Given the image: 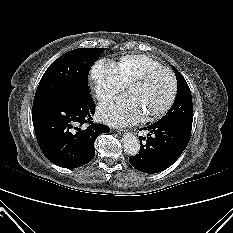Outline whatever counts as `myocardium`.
Returning a JSON list of instances; mask_svg holds the SVG:
<instances>
[{
	"instance_id": "1",
	"label": "myocardium",
	"mask_w": 233,
	"mask_h": 233,
	"mask_svg": "<svg viewBox=\"0 0 233 233\" xmlns=\"http://www.w3.org/2000/svg\"><path fill=\"white\" fill-rule=\"evenodd\" d=\"M158 71H164L170 76L171 92H170L169 98L167 99V101L165 102V104L161 108H159L155 112L145 114V118L147 120H153V119L161 117L173 105L175 98H176V94H177V88H178L177 79H176L175 74L173 73V71L171 69L164 67V66L152 67V68L146 69L145 71H143L141 74L136 76L134 79H132L128 83V87L131 85L144 83L152 74H154Z\"/></svg>"
}]
</instances>
